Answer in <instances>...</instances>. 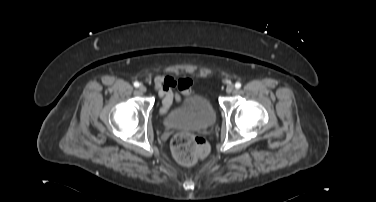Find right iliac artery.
Returning a JSON list of instances; mask_svg holds the SVG:
<instances>
[{"mask_svg": "<svg viewBox=\"0 0 376 202\" xmlns=\"http://www.w3.org/2000/svg\"><path fill=\"white\" fill-rule=\"evenodd\" d=\"M134 86H135V87H139V82H137V81L134 82Z\"/></svg>", "mask_w": 376, "mask_h": 202, "instance_id": "right-iliac-artery-1", "label": "right iliac artery"}]
</instances>
